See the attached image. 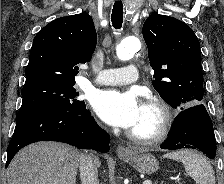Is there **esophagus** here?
Returning <instances> with one entry per match:
<instances>
[{
  "mask_svg": "<svg viewBox=\"0 0 224 184\" xmlns=\"http://www.w3.org/2000/svg\"><path fill=\"white\" fill-rule=\"evenodd\" d=\"M116 153L119 155V156H129L130 155V151L124 147V146H121L119 145L117 148H116Z\"/></svg>",
  "mask_w": 224,
  "mask_h": 184,
  "instance_id": "1",
  "label": "esophagus"
}]
</instances>
